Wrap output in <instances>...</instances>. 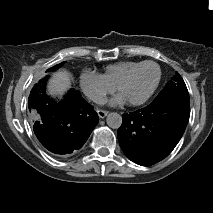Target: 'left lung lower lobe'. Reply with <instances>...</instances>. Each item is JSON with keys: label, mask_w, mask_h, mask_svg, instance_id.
Returning a JSON list of instances; mask_svg holds the SVG:
<instances>
[{"label": "left lung lower lobe", "mask_w": 213, "mask_h": 213, "mask_svg": "<svg viewBox=\"0 0 213 213\" xmlns=\"http://www.w3.org/2000/svg\"><path fill=\"white\" fill-rule=\"evenodd\" d=\"M189 116V94L168 92L147 107L123 115L119 144L131 161L143 166L155 164L177 145Z\"/></svg>", "instance_id": "obj_1"}]
</instances>
